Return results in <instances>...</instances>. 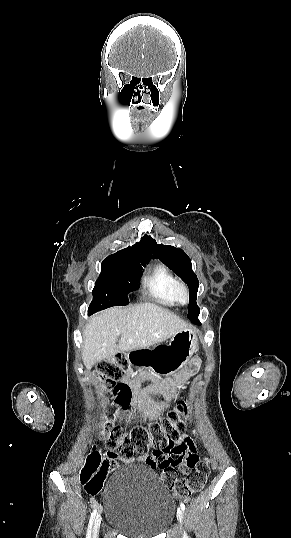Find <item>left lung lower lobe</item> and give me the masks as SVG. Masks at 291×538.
Wrapping results in <instances>:
<instances>
[{"mask_svg":"<svg viewBox=\"0 0 291 538\" xmlns=\"http://www.w3.org/2000/svg\"><path fill=\"white\" fill-rule=\"evenodd\" d=\"M199 315V313L193 318V323L195 324H200L199 320L197 319V316Z\"/></svg>","mask_w":291,"mask_h":538,"instance_id":"obj_1","label":"left lung lower lobe"}]
</instances>
